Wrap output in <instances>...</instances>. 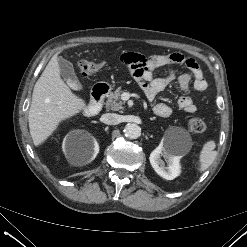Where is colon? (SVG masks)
Instances as JSON below:
<instances>
[{
	"label": "colon",
	"mask_w": 247,
	"mask_h": 247,
	"mask_svg": "<svg viewBox=\"0 0 247 247\" xmlns=\"http://www.w3.org/2000/svg\"><path fill=\"white\" fill-rule=\"evenodd\" d=\"M103 64V61L93 62L83 60L79 63V71L82 76L86 77L98 71L103 66ZM188 127L192 132L201 134L205 132L207 125L200 117L193 116L188 120Z\"/></svg>",
	"instance_id": "colon-1"
}]
</instances>
